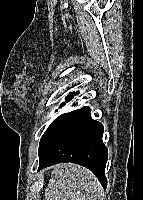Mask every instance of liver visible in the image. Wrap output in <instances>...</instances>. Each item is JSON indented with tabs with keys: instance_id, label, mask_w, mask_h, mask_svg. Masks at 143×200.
<instances>
[{
	"instance_id": "liver-1",
	"label": "liver",
	"mask_w": 143,
	"mask_h": 200,
	"mask_svg": "<svg viewBox=\"0 0 143 200\" xmlns=\"http://www.w3.org/2000/svg\"><path fill=\"white\" fill-rule=\"evenodd\" d=\"M102 195L103 190L95 175L73 163L55 165L45 189L46 200H96Z\"/></svg>"
}]
</instances>
